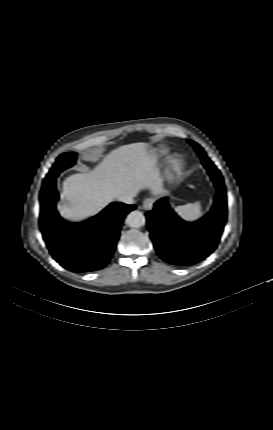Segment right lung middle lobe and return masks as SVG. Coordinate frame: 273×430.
I'll return each mask as SVG.
<instances>
[{
    "mask_svg": "<svg viewBox=\"0 0 273 430\" xmlns=\"http://www.w3.org/2000/svg\"><path fill=\"white\" fill-rule=\"evenodd\" d=\"M75 160H76L75 152L63 153L62 155H60L56 160V163L53 165L48 175L44 179V182L57 177L60 172L71 167L75 163Z\"/></svg>",
    "mask_w": 273,
    "mask_h": 430,
    "instance_id": "dd1d6c3e",
    "label": "right lung middle lobe"
}]
</instances>
